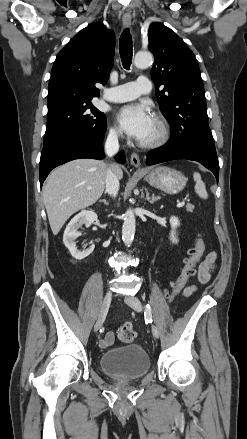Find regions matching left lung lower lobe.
<instances>
[{
	"mask_svg": "<svg viewBox=\"0 0 247 439\" xmlns=\"http://www.w3.org/2000/svg\"><path fill=\"white\" fill-rule=\"evenodd\" d=\"M175 159L194 160L201 163L213 172L218 181V158H215L206 152L191 150L182 147L178 144V142L174 141L173 139H170V141L163 147L149 151L147 153L146 163L148 165H154Z\"/></svg>",
	"mask_w": 247,
	"mask_h": 439,
	"instance_id": "0a47b994",
	"label": "left lung lower lobe"
}]
</instances>
